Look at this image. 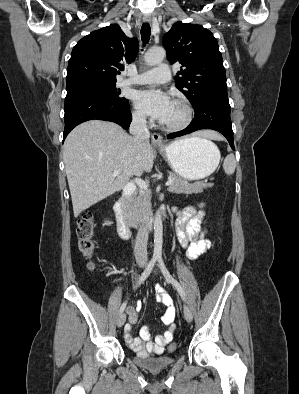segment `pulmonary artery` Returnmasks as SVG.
<instances>
[{
    "label": "pulmonary artery",
    "mask_w": 299,
    "mask_h": 394,
    "mask_svg": "<svg viewBox=\"0 0 299 394\" xmlns=\"http://www.w3.org/2000/svg\"><path fill=\"white\" fill-rule=\"evenodd\" d=\"M170 80V69L166 64H161L158 67L143 72L136 77L124 80L122 85H145L153 83H166Z\"/></svg>",
    "instance_id": "pulmonary-artery-1"
}]
</instances>
